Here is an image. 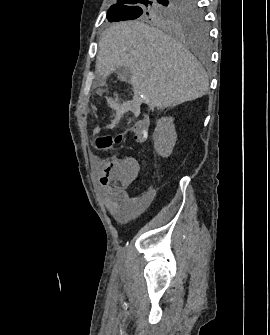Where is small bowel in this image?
I'll return each instance as SVG.
<instances>
[{
    "instance_id": "small-bowel-1",
    "label": "small bowel",
    "mask_w": 270,
    "mask_h": 335,
    "mask_svg": "<svg viewBox=\"0 0 270 335\" xmlns=\"http://www.w3.org/2000/svg\"><path fill=\"white\" fill-rule=\"evenodd\" d=\"M149 126L148 118L136 123L133 134H136L137 140L147 139ZM136 151H148V144H136ZM144 163V158H117L115 162L110 154H99L98 158H94L93 169L101 173L99 181L105 195V206L118 221L126 222L137 214L139 198L131 197L126 188L132 178L138 176L135 169H144Z\"/></svg>"
}]
</instances>
